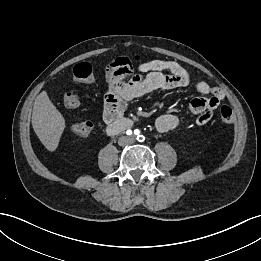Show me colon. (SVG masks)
<instances>
[{"instance_id": "colon-1", "label": "colon", "mask_w": 261, "mask_h": 261, "mask_svg": "<svg viewBox=\"0 0 261 261\" xmlns=\"http://www.w3.org/2000/svg\"><path fill=\"white\" fill-rule=\"evenodd\" d=\"M138 57L120 56L116 61L125 68L132 69V63L138 61ZM94 78L92 67L87 62L77 64L73 69V80L76 84L90 83ZM80 93L78 89L70 90L64 97V103L67 107H75L79 104ZM220 119L225 124H231L234 121V113L229 106H222L220 109ZM93 125L90 121H81L72 125V131L80 137L88 136L92 131Z\"/></svg>"}]
</instances>
